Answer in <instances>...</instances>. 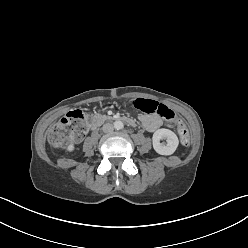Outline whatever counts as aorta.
<instances>
[{
  "mask_svg": "<svg viewBox=\"0 0 248 248\" xmlns=\"http://www.w3.org/2000/svg\"><path fill=\"white\" fill-rule=\"evenodd\" d=\"M124 127V124L122 121H115L114 122V128L117 129V130H120V129H123Z\"/></svg>",
  "mask_w": 248,
  "mask_h": 248,
  "instance_id": "762f6f07",
  "label": "aorta"
}]
</instances>
